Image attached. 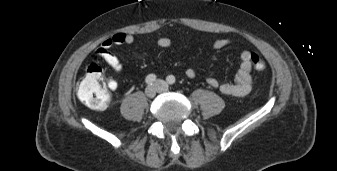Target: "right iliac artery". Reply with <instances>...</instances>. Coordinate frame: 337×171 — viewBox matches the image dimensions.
I'll return each mask as SVG.
<instances>
[{
    "mask_svg": "<svg viewBox=\"0 0 337 171\" xmlns=\"http://www.w3.org/2000/svg\"><path fill=\"white\" fill-rule=\"evenodd\" d=\"M155 80H156V76L154 74H149L145 79L148 85H152L155 82Z\"/></svg>",
    "mask_w": 337,
    "mask_h": 171,
    "instance_id": "1",
    "label": "right iliac artery"
}]
</instances>
